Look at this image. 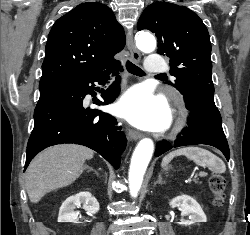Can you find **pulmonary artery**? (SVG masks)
Segmentation results:
<instances>
[{"instance_id":"obj_1","label":"pulmonary artery","mask_w":250,"mask_h":235,"mask_svg":"<svg viewBox=\"0 0 250 235\" xmlns=\"http://www.w3.org/2000/svg\"><path fill=\"white\" fill-rule=\"evenodd\" d=\"M145 69L149 73L157 74L166 71L167 65L162 56L159 53L154 52L148 55Z\"/></svg>"}]
</instances>
